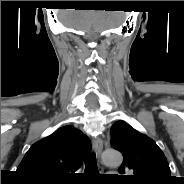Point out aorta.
Instances as JSON below:
<instances>
[{
	"label": "aorta",
	"instance_id": "obj_1",
	"mask_svg": "<svg viewBox=\"0 0 184 184\" xmlns=\"http://www.w3.org/2000/svg\"><path fill=\"white\" fill-rule=\"evenodd\" d=\"M103 160L106 165L118 166L122 163V155L116 150H106L103 153Z\"/></svg>",
	"mask_w": 184,
	"mask_h": 184
}]
</instances>
